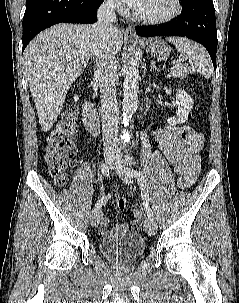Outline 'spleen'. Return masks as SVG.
<instances>
[{"label": "spleen", "instance_id": "spleen-1", "mask_svg": "<svg viewBox=\"0 0 239 303\" xmlns=\"http://www.w3.org/2000/svg\"><path fill=\"white\" fill-rule=\"evenodd\" d=\"M166 40L172 43L190 64L194 65L197 71L206 79L213 74V66L206 49L198 43L183 37H167Z\"/></svg>", "mask_w": 239, "mask_h": 303}]
</instances>
